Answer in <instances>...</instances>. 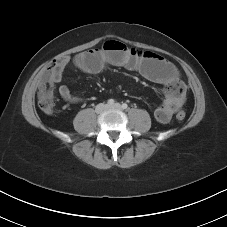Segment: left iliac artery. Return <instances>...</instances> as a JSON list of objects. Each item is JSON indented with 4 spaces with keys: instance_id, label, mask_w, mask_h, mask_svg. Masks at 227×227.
<instances>
[{
    "instance_id": "left-iliac-artery-1",
    "label": "left iliac artery",
    "mask_w": 227,
    "mask_h": 227,
    "mask_svg": "<svg viewBox=\"0 0 227 227\" xmlns=\"http://www.w3.org/2000/svg\"><path fill=\"white\" fill-rule=\"evenodd\" d=\"M123 109H128V105L126 103L122 104Z\"/></svg>"
}]
</instances>
